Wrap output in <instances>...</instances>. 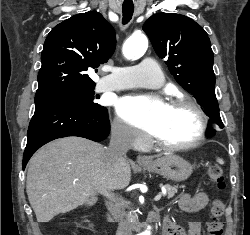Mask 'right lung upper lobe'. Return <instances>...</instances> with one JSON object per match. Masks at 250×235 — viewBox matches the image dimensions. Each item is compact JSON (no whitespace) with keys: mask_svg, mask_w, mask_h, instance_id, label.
Listing matches in <instances>:
<instances>
[{"mask_svg":"<svg viewBox=\"0 0 250 235\" xmlns=\"http://www.w3.org/2000/svg\"><path fill=\"white\" fill-rule=\"evenodd\" d=\"M115 46V31L98 12L56 25L44 43L35 98L95 86L86 71L107 62Z\"/></svg>","mask_w":250,"mask_h":235,"instance_id":"1","label":"right lung upper lobe"}]
</instances>
